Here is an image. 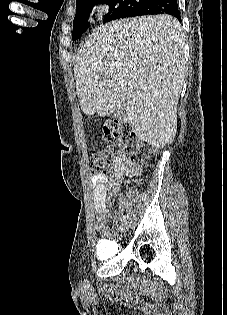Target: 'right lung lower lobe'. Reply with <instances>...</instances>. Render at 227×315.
I'll return each instance as SVG.
<instances>
[{
  "instance_id": "1",
  "label": "right lung lower lobe",
  "mask_w": 227,
  "mask_h": 315,
  "mask_svg": "<svg viewBox=\"0 0 227 315\" xmlns=\"http://www.w3.org/2000/svg\"><path fill=\"white\" fill-rule=\"evenodd\" d=\"M153 14H169L181 21L177 0H148L139 9L127 10L123 18Z\"/></svg>"
}]
</instances>
